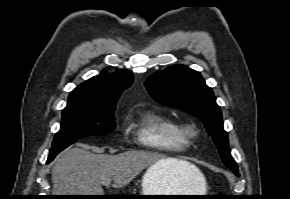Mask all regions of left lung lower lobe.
<instances>
[{"instance_id":"1","label":"left lung lower lobe","mask_w":290,"mask_h":199,"mask_svg":"<svg viewBox=\"0 0 290 199\" xmlns=\"http://www.w3.org/2000/svg\"><path fill=\"white\" fill-rule=\"evenodd\" d=\"M237 176H239V173H238V171H233Z\"/></svg>"}]
</instances>
